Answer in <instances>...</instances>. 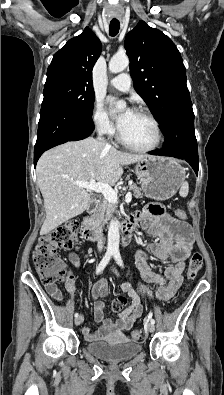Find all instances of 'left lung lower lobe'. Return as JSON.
<instances>
[{
  "instance_id": "obj_1",
  "label": "left lung lower lobe",
  "mask_w": 224,
  "mask_h": 395,
  "mask_svg": "<svg viewBox=\"0 0 224 395\" xmlns=\"http://www.w3.org/2000/svg\"><path fill=\"white\" fill-rule=\"evenodd\" d=\"M162 132L166 137L165 145L151 154L185 159L198 175V149L192 108L172 115L170 125Z\"/></svg>"
}]
</instances>
